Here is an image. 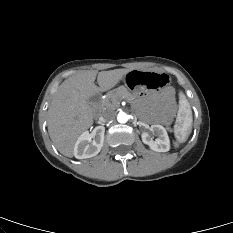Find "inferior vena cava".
I'll return each mask as SVG.
<instances>
[{"mask_svg":"<svg viewBox=\"0 0 233 233\" xmlns=\"http://www.w3.org/2000/svg\"><path fill=\"white\" fill-rule=\"evenodd\" d=\"M113 118H114V112L111 110H107L102 113L101 117L99 118V122L105 123L113 120Z\"/></svg>","mask_w":233,"mask_h":233,"instance_id":"1","label":"inferior vena cava"}]
</instances>
